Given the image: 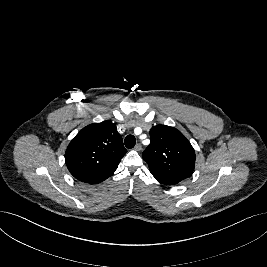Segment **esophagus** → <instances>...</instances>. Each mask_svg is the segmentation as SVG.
Segmentation results:
<instances>
[{
	"label": "esophagus",
	"instance_id": "esophagus-1",
	"mask_svg": "<svg viewBox=\"0 0 267 267\" xmlns=\"http://www.w3.org/2000/svg\"><path fill=\"white\" fill-rule=\"evenodd\" d=\"M142 149V146H141V144H139V143H137L136 145H135V147H134V150H136V151H140Z\"/></svg>",
	"mask_w": 267,
	"mask_h": 267
}]
</instances>
